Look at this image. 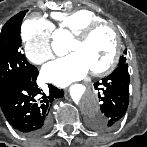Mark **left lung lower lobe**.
<instances>
[{"label": "left lung lower lobe", "instance_id": "0a47b994", "mask_svg": "<svg viewBox=\"0 0 147 147\" xmlns=\"http://www.w3.org/2000/svg\"><path fill=\"white\" fill-rule=\"evenodd\" d=\"M129 82L128 65L123 64L94 84L97 90H102V94L99 93L101 114L88 119L87 124L91 128L105 131L117 126L128 107Z\"/></svg>", "mask_w": 147, "mask_h": 147}]
</instances>
